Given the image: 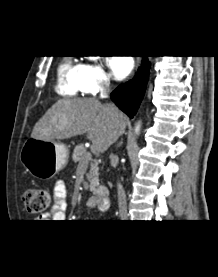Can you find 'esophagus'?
Segmentation results:
<instances>
[{
    "label": "esophagus",
    "instance_id": "1",
    "mask_svg": "<svg viewBox=\"0 0 218 277\" xmlns=\"http://www.w3.org/2000/svg\"><path fill=\"white\" fill-rule=\"evenodd\" d=\"M141 63V58L138 57L137 60H136V68H138V66L140 65Z\"/></svg>",
    "mask_w": 218,
    "mask_h": 277
}]
</instances>
